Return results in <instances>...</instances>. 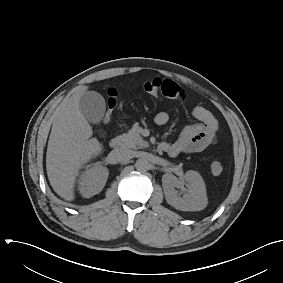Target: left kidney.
<instances>
[{"instance_id": "obj_1", "label": "left kidney", "mask_w": 283, "mask_h": 283, "mask_svg": "<svg viewBox=\"0 0 283 283\" xmlns=\"http://www.w3.org/2000/svg\"><path fill=\"white\" fill-rule=\"evenodd\" d=\"M186 182V187L184 184ZM162 183L166 201L169 205L182 211H200L207 206L206 187L201 175L193 170L185 173L182 180L173 174H164ZM176 188L184 191L183 196L178 195Z\"/></svg>"}]
</instances>
